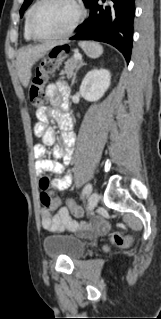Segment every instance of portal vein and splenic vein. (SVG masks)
I'll return each instance as SVG.
<instances>
[{"instance_id":"portal-vein-and-splenic-vein-1","label":"portal vein and splenic vein","mask_w":161,"mask_h":319,"mask_svg":"<svg viewBox=\"0 0 161 319\" xmlns=\"http://www.w3.org/2000/svg\"><path fill=\"white\" fill-rule=\"evenodd\" d=\"M74 58H75L76 60H81V59H82V56H81L79 53H77V54H74Z\"/></svg>"}]
</instances>
